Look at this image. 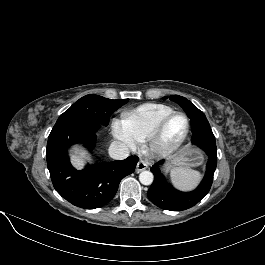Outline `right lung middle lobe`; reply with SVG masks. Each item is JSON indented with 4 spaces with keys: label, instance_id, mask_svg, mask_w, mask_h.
Here are the masks:
<instances>
[{
    "label": "right lung middle lobe",
    "instance_id": "1",
    "mask_svg": "<svg viewBox=\"0 0 265 265\" xmlns=\"http://www.w3.org/2000/svg\"><path fill=\"white\" fill-rule=\"evenodd\" d=\"M127 102L128 99L111 100L99 95H86L61 114L56 124L72 120H83L107 126L112 113Z\"/></svg>",
    "mask_w": 265,
    "mask_h": 265
}]
</instances>
